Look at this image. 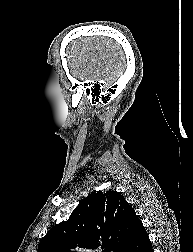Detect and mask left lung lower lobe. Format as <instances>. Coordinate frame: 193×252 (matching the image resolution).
Wrapping results in <instances>:
<instances>
[{"label":"left lung lower lobe","mask_w":193,"mask_h":252,"mask_svg":"<svg viewBox=\"0 0 193 252\" xmlns=\"http://www.w3.org/2000/svg\"><path fill=\"white\" fill-rule=\"evenodd\" d=\"M125 252H153L151 242L142 222L136 226Z\"/></svg>","instance_id":"1"}]
</instances>
